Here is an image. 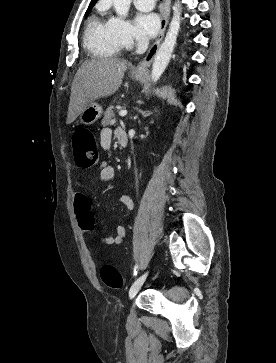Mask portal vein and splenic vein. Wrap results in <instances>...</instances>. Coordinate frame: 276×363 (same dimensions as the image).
Segmentation results:
<instances>
[{
  "instance_id": "1",
  "label": "portal vein and splenic vein",
  "mask_w": 276,
  "mask_h": 363,
  "mask_svg": "<svg viewBox=\"0 0 276 363\" xmlns=\"http://www.w3.org/2000/svg\"><path fill=\"white\" fill-rule=\"evenodd\" d=\"M126 115H127V111L126 110H120L119 111V116L124 117Z\"/></svg>"
}]
</instances>
